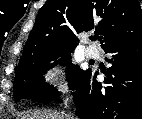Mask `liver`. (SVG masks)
<instances>
[{"label": "liver", "mask_w": 142, "mask_h": 119, "mask_svg": "<svg viewBox=\"0 0 142 119\" xmlns=\"http://www.w3.org/2000/svg\"><path fill=\"white\" fill-rule=\"evenodd\" d=\"M26 117V116H25ZM27 119H65L64 116L52 113H34L32 116H27ZM25 119V118H24Z\"/></svg>", "instance_id": "1"}]
</instances>
